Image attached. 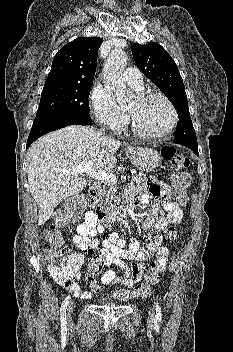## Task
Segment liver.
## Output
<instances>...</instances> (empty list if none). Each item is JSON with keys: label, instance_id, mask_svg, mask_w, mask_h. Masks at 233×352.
<instances>
[{"label": "liver", "instance_id": "6515ba94", "mask_svg": "<svg viewBox=\"0 0 233 352\" xmlns=\"http://www.w3.org/2000/svg\"><path fill=\"white\" fill-rule=\"evenodd\" d=\"M120 145V141L79 125L49 133L32 144L27 173L30 193L39 209L38 224L43 225L61 201L79 194L87 185L84 177L60 170L92 163V170L110 172L116 166L115 152Z\"/></svg>", "mask_w": 233, "mask_h": 352}]
</instances>
